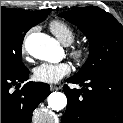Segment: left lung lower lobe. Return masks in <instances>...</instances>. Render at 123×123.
Instances as JSON below:
<instances>
[{
	"label": "left lung lower lobe",
	"mask_w": 123,
	"mask_h": 123,
	"mask_svg": "<svg viewBox=\"0 0 123 123\" xmlns=\"http://www.w3.org/2000/svg\"><path fill=\"white\" fill-rule=\"evenodd\" d=\"M67 82L82 89L63 90L68 103L61 123H123V68H109Z\"/></svg>",
	"instance_id": "left-lung-lower-lobe-1"
}]
</instances>
